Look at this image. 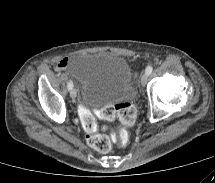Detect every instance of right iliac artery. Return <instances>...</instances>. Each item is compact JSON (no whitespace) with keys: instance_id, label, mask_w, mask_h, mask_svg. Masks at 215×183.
<instances>
[{"instance_id":"obj_1","label":"right iliac artery","mask_w":215,"mask_h":183,"mask_svg":"<svg viewBox=\"0 0 215 183\" xmlns=\"http://www.w3.org/2000/svg\"><path fill=\"white\" fill-rule=\"evenodd\" d=\"M68 90H71L73 88V82L70 80L67 84Z\"/></svg>"}]
</instances>
